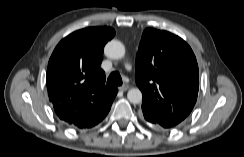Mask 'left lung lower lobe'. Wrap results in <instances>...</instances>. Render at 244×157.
I'll list each match as a JSON object with an SVG mask.
<instances>
[{"label": "left lung lower lobe", "mask_w": 244, "mask_h": 157, "mask_svg": "<svg viewBox=\"0 0 244 157\" xmlns=\"http://www.w3.org/2000/svg\"><path fill=\"white\" fill-rule=\"evenodd\" d=\"M142 111H143L144 119H145L147 122L153 124L154 126H156V127H158V128H164V127H162L158 122H156V121L151 117V115H150L147 111H145V110H142Z\"/></svg>", "instance_id": "left-lung-lower-lobe-1"}]
</instances>
